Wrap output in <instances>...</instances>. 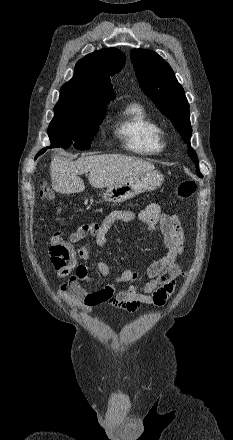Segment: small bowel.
Here are the masks:
<instances>
[{"instance_id": "1", "label": "small bowel", "mask_w": 233, "mask_h": 440, "mask_svg": "<svg viewBox=\"0 0 233 440\" xmlns=\"http://www.w3.org/2000/svg\"><path fill=\"white\" fill-rule=\"evenodd\" d=\"M136 219L142 222L148 231L161 233L167 249L166 255L152 262L143 273L148 281L142 285L130 284L140 276L139 272L125 269L113 274L106 262L99 261L96 263L97 271L110 278L111 283L94 291L86 290L83 283L90 284L93 280L89 276L87 266L80 263L79 258L90 259V245L86 244L76 249L74 244L90 237L94 245L104 248L107 234L114 223H128ZM184 242V233L178 217L163 214L157 203H151L138 213L130 210L112 211L100 223L80 226L70 234L68 240L62 238L61 232H56L50 240L48 253L56 276L69 277L59 294L73 307L89 312L95 307L108 305L133 313L141 305H164L168 296L175 291L177 278L186 275V271L176 261L184 253ZM121 285L126 286L116 290V286Z\"/></svg>"}]
</instances>
